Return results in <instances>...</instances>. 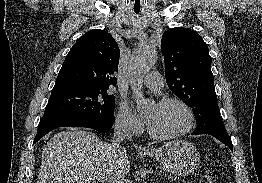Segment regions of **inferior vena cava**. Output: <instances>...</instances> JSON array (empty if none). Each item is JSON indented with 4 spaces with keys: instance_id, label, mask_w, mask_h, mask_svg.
Here are the masks:
<instances>
[{
    "instance_id": "obj_1",
    "label": "inferior vena cava",
    "mask_w": 262,
    "mask_h": 183,
    "mask_svg": "<svg viewBox=\"0 0 262 183\" xmlns=\"http://www.w3.org/2000/svg\"><path fill=\"white\" fill-rule=\"evenodd\" d=\"M125 139L132 140L131 123L128 119H120L114 126V144H118Z\"/></svg>"
}]
</instances>
